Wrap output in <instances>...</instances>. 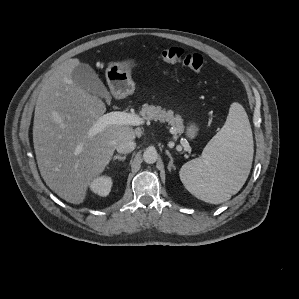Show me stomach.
<instances>
[{
    "label": "stomach",
    "instance_id": "0dacf381",
    "mask_svg": "<svg viewBox=\"0 0 299 299\" xmlns=\"http://www.w3.org/2000/svg\"><path fill=\"white\" fill-rule=\"evenodd\" d=\"M138 66L135 59H126L121 62L111 63L106 69V79L112 94L116 97L130 95L135 88L131 78V71ZM198 134V127L190 123L186 129L189 139H194Z\"/></svg>",
    "mask_w": 299,
    "mask_h": 299
}]
</instances>
